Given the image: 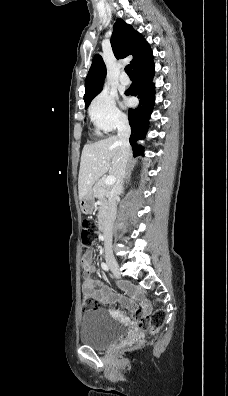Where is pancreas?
Instances as JSON below:
<instances>
[{"mask_svg":"<svg viewBox=\"0 0 228 396\" xmlns=\"http://www.w3.org/2000/svg\"><path fill=\"white\" fill-rule=\"evenodd\" d=\"M95 197L99 199V213H98V219L101 220L104 218L109 201L108 199L111 196L112 193V188L104 183L103 179H100L96 182L94 188H93Z\"/></svg>","mask_w":228,"mask_h":396,"instance_id":"pancreas-1","label":"pancreas"}]
</instances>
